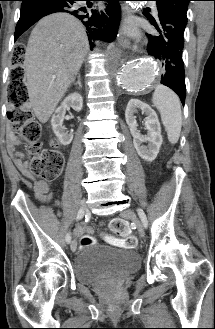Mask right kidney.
<instances>
[{
  "instance_id": "obj_1",
  "label": "right kidney",
  "mask_w": 215,
  "mask_h": 329,
  "mask_svg": "<svg viewBox=\"0 0 215 329\" xmlns=\"http://www.w3.org/2000/svg\"><path fill=\"white\" fill-rule=\"evenodd\" d=\"M69 107L75 111H81L83 107V99L79 93H72L68 95L56 109L55 114L51 119L52 130L58 138L59 143L64 146L69 145L73 140V134L69 133L65 126H63L66 109Z\"/></svg>"
}]
</instances>
